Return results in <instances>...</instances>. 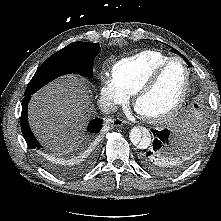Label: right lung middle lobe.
Listing matches in <instances>:
<instances>
[{
	"mask_svg": "<svg viewBox=\"0 0 221 221\" xmlns=\"http://www.w3.org/2000/svg\"><path fill=\"white\" fill-rule=\"evenodd\" d=\"M99 43L73 42L50 56L38 68L28 83L24 95H32L53 79L67 73L92 76L94 58L99 54Z\"/></svg>",
	"mask_w": 221,
	"mask_h": 221,
	"instance_id": "obj_1",
	"label": "right lung middle lobe"
}]
</instances>
